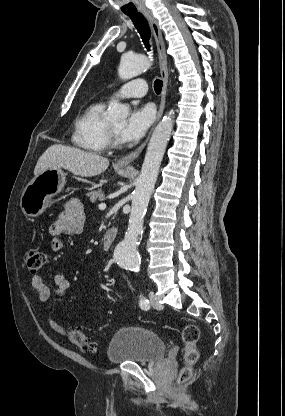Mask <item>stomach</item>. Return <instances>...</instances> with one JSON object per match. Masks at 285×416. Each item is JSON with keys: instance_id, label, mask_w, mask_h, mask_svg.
I'll return each mask as SVG.
<instances>
[{"instance_id": "0dacf381", "label": "stomach", "mask_w": 285, "mask_h": 416, "mask_svg": "<svg viewBox=\"0 0 285 416\" xmlns=\"http://www.w3.org/2000/svg\"><path fill=\"white\" fill-rule=\"evenodd\" d=\"M66 184V174L61 168H49L26 186L20 200L24 216L38 218L46 208L55 204L54 196L62 192Z\"/></svg>"}]
</instances>
